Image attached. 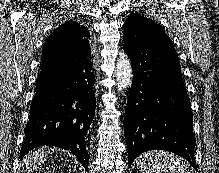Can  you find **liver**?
Listing matches in <instances>:
<instances>
[{"label":"liver","instance_id":"6515ba94","mask_svg":"<svg viewBox=\"0 0 219 173\" xmlns=\"http://www.w3.org/2000/svg\"><path fill=\"white\" fill-rule=\"evenodd\" d=\"M51 149H44L40 148L32 153H29L24 159H23V165L25 166V169L27 173L32 172L33 170L37 169L41 164H43L46 160L48 155L51 153ZM24 173V172H21Z\"/></svg>","mask_w":219,"mask_h":173}]
</instances>
